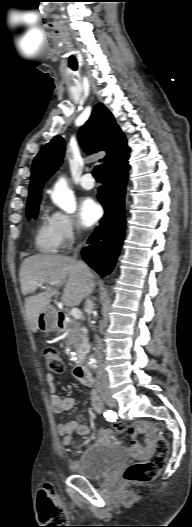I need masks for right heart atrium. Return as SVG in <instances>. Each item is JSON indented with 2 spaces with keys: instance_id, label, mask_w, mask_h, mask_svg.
I'll use <instances>...</instances> for the list:
<instances>
[{
  "instance_id": "right-heart-atrium-1",
  "label": "right heart atrium",
  "mask_w": 192,
  "mask_h": 527,
  "mask_svg": "<svg viewBox=\"0 0 192 527\" xmlns=\"http://www.w3.org/2000/svg\"><path fill=\"white\" fill-rule=\"evenodd\" d=\"M49 219L57 237L59 247H67L70 245L81 230L76 218L71 214L54 211L49 216Z\"/></svg>"
}]
</instances>
